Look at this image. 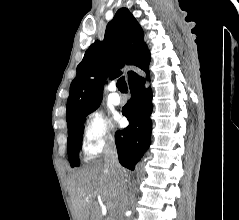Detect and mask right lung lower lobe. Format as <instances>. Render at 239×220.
Segmentation results:
<instances>
[{"label": "right lung lower lobe", "instance_id": "obj_1", "mask_svg": "<svg viewBox=\"0 0 239 220\" xmlns=\"http://www.w3.org/2000/svg\"><path fill=\"white\" fill-rule=\"evenodd\" d=\"M149 75L148 67L143 69ZM131 100L123 107L122 114L130 122L128 127L115 133L118 158L121 165L134 170L151 142L153 110L152 91L145 88V78L133 74L129 79Z\"/></svg>", "mask_w": 239, "mask_h": 220}]
</instances>
